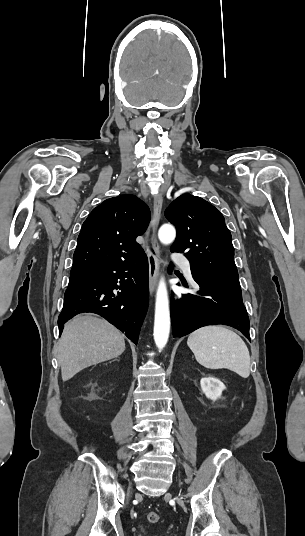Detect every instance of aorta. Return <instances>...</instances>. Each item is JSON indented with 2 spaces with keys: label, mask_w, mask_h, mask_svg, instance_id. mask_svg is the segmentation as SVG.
Here are the masks:
<instances>
[{
  "label": "aorta",
  "mask_w": 305,
  "mask_h": 536,
  "mask_svg": "<svg viewBox=\"0 0 305 536\" xmlns=\"http://www.w3.org/2000/svg\"><path fill=\"white\" fill-rule=\"evenodd\" d=\"M158 237L162 244L172 243L176 237L175 228L170 224H164L158 231ZM170 333V310L167 287L164 278L159 281L156 292L154 341L159 350H162L168 341Z\"/></svg>",
  "instance_id": "1"
}]
</instances>
